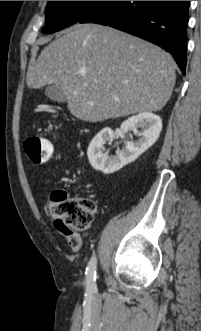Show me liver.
Here are the masks:
<instances>
[{"instance_id": "1", "label": "liver", "mask_w": 201, "mask_h": 331, "mask_svg": "<svg viewBox=\"0 0 201 331\" xmlns=\"http://www.w3.org/2000/svg\"><path fill=\"white\" fill-rule=\"evenodd\" d=\"M172 56L108 26L75 25L46 46L27 86H61L68 110L88 122L160 111L175 85Z\"/></svg>"}]
</instances>
